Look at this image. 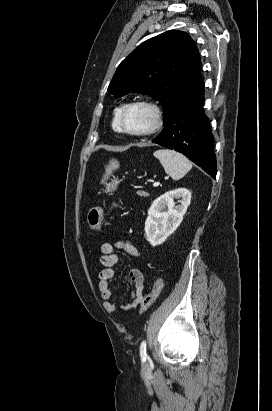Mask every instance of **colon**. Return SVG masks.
Returning <instances> with one entry per match:
<instances>
[{"instance_id":"obj_1","label":"colon","mask_w":272,"mask_h":411,"mask_svg":"<svg viewBox=\"0 0 272 411\" xmlns=\"http://www.w3.org/2000/svg\"><path fill=\"white\" fill-rule=\"evenodd\" d=\"M119 203H113V207H118ZM104 220V208L102 206H94L91 208L88 214V225L93 232H100L102 229ZM164 287L163 279L157 276L152 289L149 293L141 296L137 302L135 308H138L139 313H144L160 296Z\"/></svg>"}]
</instances>
